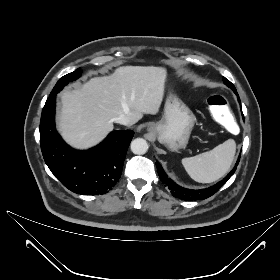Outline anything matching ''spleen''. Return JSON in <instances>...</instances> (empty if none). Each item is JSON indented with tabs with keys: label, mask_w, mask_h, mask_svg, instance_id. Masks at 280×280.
Masks as SVG:
<instances>
[{
	"label": "spleen",
	"mask_w": 280,
	"mask_h": 280,
	"mask_svg": "<svg viewBox=\"0 0 280 280\" xmlns=\"http://www.w3.org/2000/svg\"><path fill=\"white\" fill-rule=\"evenodd\" d=\"M236 152V143L228 139L211 151L182 159L189 176L199 183H211L223 177L230 169Z\"/></svg>",
	"instance_id": "1"
}]
</instances>
